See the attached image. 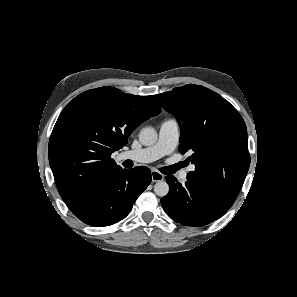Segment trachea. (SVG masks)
Here are the masks:
<instances>
[{"mask_svg":"<svg viewBox=\"0 0 297 297\" xmlns=\"http://www.w3.org/2000/svg\"><path fill=\"white\" fill-rule=\"evenodd\" d=\"M183 165L182 163H178V164H175V165H172V166H168V167H163L161 169V171L165 174H172L174 173L175 171H177L178 169L182 168Z\"/></svg>","mask_w":297,"mask_h":297,"instance_id":"3493384b","label":"trachea"}]
</instances>
